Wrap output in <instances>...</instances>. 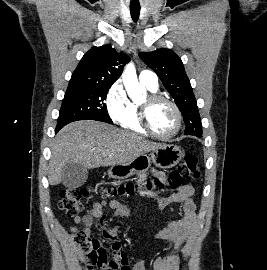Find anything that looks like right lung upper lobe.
<instances>
[{"label":"right lung upper lobe","instance_id":"cb5924a9","mask_svg":"<svg viewBox=\"0 0 267 270\" xmlns=\"http://www.w3.org/2000/svg\"><path fill=\"white\" fill-rule=\"evenodd\" d=\"M130 58L110 45L91 48L81 59L69 84L112 85L121 75Z\"/></svg>","mask_w":267,"mask_h":270}]
</instances>
